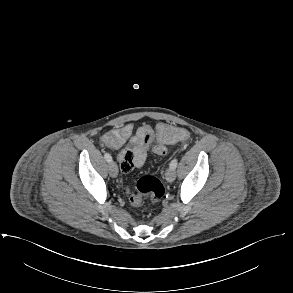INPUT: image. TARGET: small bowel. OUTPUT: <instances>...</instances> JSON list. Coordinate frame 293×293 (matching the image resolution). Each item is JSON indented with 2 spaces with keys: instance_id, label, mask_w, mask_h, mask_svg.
I'll list each match as a JSON object with an SVG mask.
<instances>
[{
  "instance_id": "c3829d8e",
  "label": "small bowel",
  "mask_w": 293,
  "mask_h": 293,
  "mask_svg": "<svg viewBox=\"0 0 293 293\" xmlns=\"http://www.w3.org/2000/svg\"><path fill=\"white\" fill-rule=\"evenodd\" d=\"M148 134H155L159 141L169 144L185 143L190 138L188 130L163 122L158 123L155 130L143 125L136 131L133 125L128 123L106 132L101 138V143L118 151L120 168L124 173H128L144 164L148 152L145 138ZM125 145L127 146L123 148Z\"/></svg>"
}]
</instances>
